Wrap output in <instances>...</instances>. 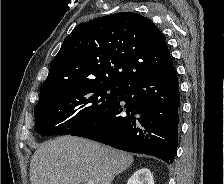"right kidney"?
<instances>
[{
  "instance_id": "obj_1",
  "label": "right kidney",
  "mask_w": 224,
  "mask_h": 184,
  "mask_svg": "<svg viewBox=\"0 0 224 184\" xmlns=\"http://www.w3.org/2000/svg\"><path fill=\"white\" fill-rule=\"evenodd\" d=\"M127 184H154L153 175L147 168L139 169L130 177Z\"/></svg>"
}]
</instances>
